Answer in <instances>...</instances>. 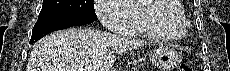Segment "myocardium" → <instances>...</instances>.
Returning a JSON list of instances; mask_svg holds the SVG:
<instances>
[{
  "mask_svg": "<svg viewBox=\"0 0 230 71\" xmlns=\"http://www.w3.org/2000/svg\"><path fill=\"white\" fill-rule=\"evenodd\" d=\"M179 2L178 0H152L148 4V8L151 12V20L154 25L162 30L172 29L175 33L176 38L183 37L188 31V23L185 17L174 16L168 9L167 6L172 3Z\"/></svg>",
  "mask_w": 230,
  "mask_h": 71,
  "instance_id": "1",
  "label": "myocardium"
}]
</instances>
